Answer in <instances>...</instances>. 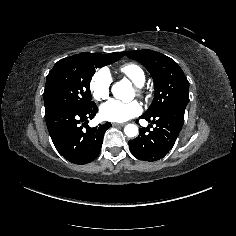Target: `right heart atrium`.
I'll return each instance as SVG.
<instances>
[{"mask_svg":"<svg viewBox=\"0 0 236 236\" xmlns=\"http://www.w3.org/2000/svg\"><path fill=\"white\" fill-rule=\"evenodd\" d=\"M112 78L108 71L98 70L90 80V91L94 101L102 102L108 99Z\"/></svg>","mask_w":236,"mask_h":236,"instance_id":"right-heart-atrium-1","label":"right heart atrium"}]
</instances>
